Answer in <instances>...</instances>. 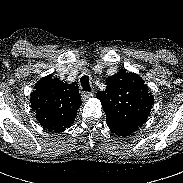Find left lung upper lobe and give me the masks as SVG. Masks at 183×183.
Listing matches in <instances>:
<instances>
[{"instance_id":"obj_1","label":"left lung upper lobe","mask_w":183,"mask_h":183,"mask_svg":"<svg viewBox=\"0 0 183 183\" xmlns=\"http://www.w3.org/2000/svg\"><path fill=\"white\" fill-rule=\"evenodd\" d=\"M107 89L96 93L106 114V122L124 127H141L153 105V96L136 73L120 70L106 80Z\"/></svg>"}]
</instances>
